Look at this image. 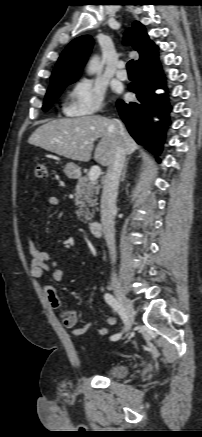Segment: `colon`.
<instances>
[{
	"label": "colon",
	"mask_w": 202,
	"mask_h": 437,
	"mask_svg": "<svg viewBox=\"0 0 202 437\" xmlns=\"http://www.w3.org/2000/svg\"><path fill=\"white\" fill-rule=\"evenodd\" d=\"M34 176L39 179H43L47 176V168L44 163L39 162L35 165Z\"/></svg>",
	"instance_id": "colon-1"
}]
</instances>
